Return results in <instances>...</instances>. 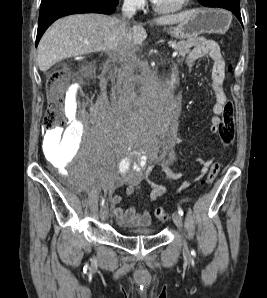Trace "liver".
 <instances>
[{
  "instance_id": "1",
  "label": "liver",
  "mask_w": 267,
  "mask_h": 298,
  "mask_svg": "<svg viewBox=\"0 0 267 298\" xmlns=\"http://www.w3.org/2000/svg\"><path fill=\"white\" fill-rule=\"evenodd\" d=\"M189 12L162 16L153 21L157 25L179 23ZM122 22L101 14H76L57 20L45 32L37 48L38 65L46 72L57 62L80 55L112 51L126 44L130 37L133 43L142 44L147 37L141 25H134L129 34L118 37Z\"/></svg>"
}]
</instances>
